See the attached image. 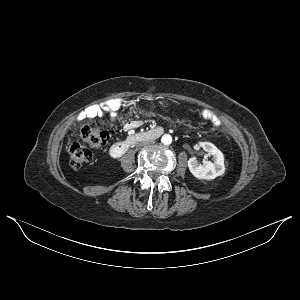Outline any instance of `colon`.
<instances>
[{
  "label": "colon",
  "mask_w": 300,
  "mask_h": 300,
  "mask_svg": "<svg viewBox=\"0 0 300 300\" xmlns=\"http://www.w3.org/2000/svg\"><path fill=\"white\" fill-rule=\"evenodd\" d=\"M216 135H220L218 130H214ZM113 137V132L101 129L97 125H85L81 130V139L83 143L73 141L69 144L68 154L71 167L79 169L90 162L93 154L85 145L95 149L104 148Z\"/></svg>",
  "instance_id": "5ec220e1"
}]
</instances>
